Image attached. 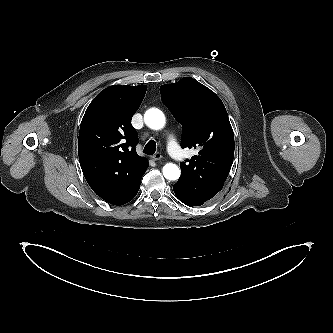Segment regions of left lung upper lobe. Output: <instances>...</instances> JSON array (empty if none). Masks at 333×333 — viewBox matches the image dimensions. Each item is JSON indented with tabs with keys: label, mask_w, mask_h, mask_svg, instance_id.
I'll return each instance as SVG.
<instances>
[{
	"label": "left lung upper lobe",
	"mask_w": 333,
	"mask_h": 333,
	"mask_svg": "<svg viewBox=\"0 0 333 333\" xmlns=\"http://www.w3.org/2000/svg\"><path fill=\"white\" fill-rule=\"evenodd\" d=\"M160 93L182 124L181 146L199 151L180 163L176 184L208 201L223 188L233 162L234 134L227 111L213 91L191 77L162 85Z\"/></svg>",
	"instance_id": "5c2ea615"
}]
</instances>
